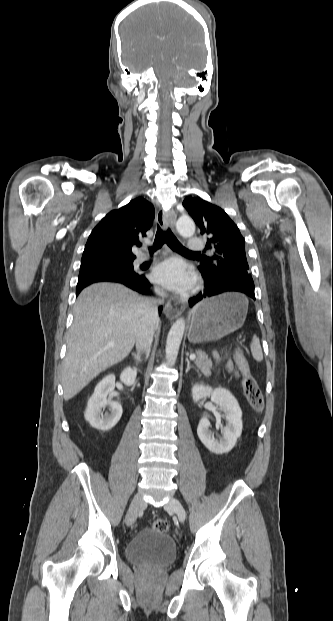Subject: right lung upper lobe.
Returning <instances> with one entry per match:
<instances>
[{"label":"right lung upper lobe","mask_w":333,"mask_h":621,"mask_svg":"<svg viewBox=\"0 0 333 621\" xmlns=\"http://www.w3.org/2000/svg\"><path fill=\"white\" fill-rule=\"evenodd\" d=\"M155 217L154 207L138 197L127 205L109 212L92 230L82 259L134 257L132 246H141L139 237L146 235Z\"/></svg>","instance_id":"obj_1"}]
</instances>
